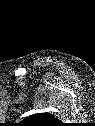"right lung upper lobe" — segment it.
I'll return each mask as SVG.
<instances>
[{
	"label": "right lung upper lobe",
	"mask_w": 95,
	"mask_h": 126,
	"mask_svg": "<svg viewBox=\"0 0 95 126\" xmlns=\"http://www.w3.org/2000/svg\"><path fill=\"white\" fill-rule=\"evenodd\" d=\"M25 126H61L62 123L50 113H39L23 120Z\"/></svg>",
	"instance_id": "cb5924a9"
}]
</instances>
